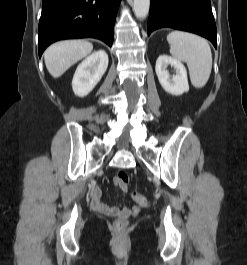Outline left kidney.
I'll list each match as a JSON object with an SVG mask.
<instances>
[{
    "instance_id": "5707ae66",
    "label": "left kidney",
    "mask_w": 247,
    "mask_h": 265,
    "mask_svg": "<svg viewBox=\"0 0 247 265\" xmlns=\"http://www.w3.org/2000/svg\"><path fill=\"white\" fill-rule=\"evenodd\" d=\"M169 65L176 70V75H173L172 78L167 71ZM155 71L161 86L167 93L178 96L189 91L187 71L180 61L167 55H161L156 61Z\"/></svg>"
}]
</instances>
